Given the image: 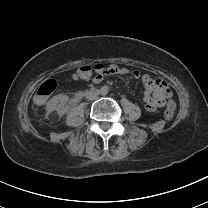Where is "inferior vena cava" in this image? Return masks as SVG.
<instances>
[{
  "mask_svg": "<svg viewBox=\"0 0 208 208\" xmlns=\"http://www.w3.org/2000/svg\"><path fill=\"white\" fill-rule=\"evenodd\" d=\"M93 94L91 95V92L89 91V92H87L86 93V98L87 99H90V100H94V99H96L97 98V96H98V94L97 93H95V92H92Z\"/></svg>",
  "mask_w": 208,
  "mask_h": 208,
  "instance_id": "602c4592",
  "label": "inferior vena cava"
}]
</instances>
